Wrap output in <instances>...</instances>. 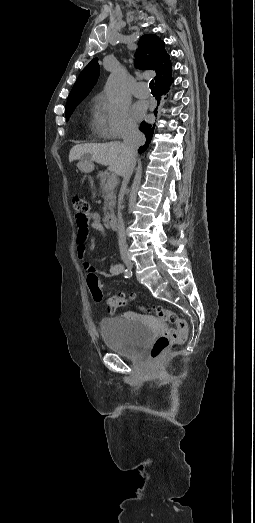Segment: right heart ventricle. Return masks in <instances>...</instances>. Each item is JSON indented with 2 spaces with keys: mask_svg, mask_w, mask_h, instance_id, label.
Segmentation results:
<instances>
[{
  "mask_svg": "<svg viewBox=\"0 0 255 523\" xmlns=\"http://www.w3.org/2000/svg\"><path fill=\"white\" fill-rule=\"evenodd\" d=\"M91 129L98 139H106L110 136L108 119L104 109L96 107L90 122Z\"/></svg>",
  "mask_w": 255,
  "mask_h": 523,
  "instance_id": "e07e8e85",
  "label": "right heart ventricle"
}]
</instances>
